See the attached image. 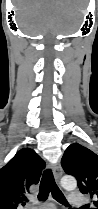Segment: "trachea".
Instances as JSON below:
<instances>
[{
    "mask_svg": "<svg viewBox=\"0 0 98 209\" xmlns=\"http://www.w3.org/2000/svg\"><path fill=\"white\" fill-rule=\"evenodd\" d=\"M49 193L53 198L61 204L68 205L65 196L57 186L53 173L50 169L43 172V176L40 182L38 199L44 201L47 199Z\"/></svg>",
    "mask_w": 98,
    "mask_h": 209,
    "instance_id": "obj_1",
    "label": "trachea"
}]
</instances>
